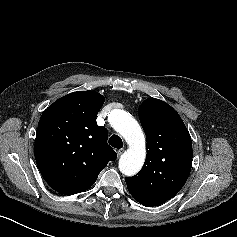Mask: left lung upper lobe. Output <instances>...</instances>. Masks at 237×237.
I'll return each mask as SVG.
<instances>
[{
	"mask_svg": "<svg viewBox=\"0 0 237 237\" xmlns=\"http://www.w3.org/2000/svg\"><path fill=\"white\" fill-rule=\"evenodd\" d=\"M147 138L141 171L125 178L133 198L146 207L160 205L184 186L192 165L190 134L179 114L166 102L148 98L139 108Z\"/></svg>",
	"mask_w": 237,
	"mask_h": 237,
	"instance_id": "obj_1",
	"label": "left lung upper lobe"
}]
</instances>
